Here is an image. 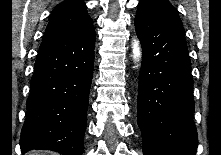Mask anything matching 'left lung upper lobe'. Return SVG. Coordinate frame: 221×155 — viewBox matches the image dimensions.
<instances>
[{"label":"left lung upper lobe","instance_id":"5c2ea615","mask_svg":"<svg viewBox=\"0 0 221 155\" xmlns=\"http://www.w3.org/2000/svg\"><path fill=\"white\" fill-rule=\"evenodd\" d=\"M138 5H143L158 14L173 18L181 22L175 8L168 0H142Z\"/></svg>","mask_w":221,"mask_h":155}]
</instances>
